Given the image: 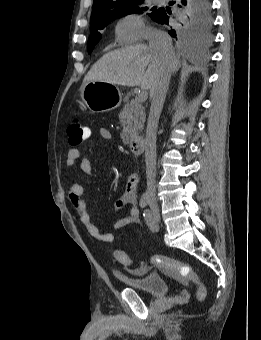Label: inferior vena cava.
<instances>
[{
    "mask_svg": "<svg viewBox=\"0 0 261 340\" xmlns=\"http://www.w3.org/2000/svg\"><path fill=\"white\" fill-rule=\"evenodd\" d=\"M149 48L159 58H167L173 54L171 37L163 31L153 29L148 34ZM171 71L163 72L151 90V107L145 137V162L147 176L146 195L149 199L156 196V132L159 117L165 101Z\"/></svg>",
    "mask_w": 261,
    "mask_h": 340,
    "instance_id": "1",
    "label": "inferior vena cava"
}]
</instances>
